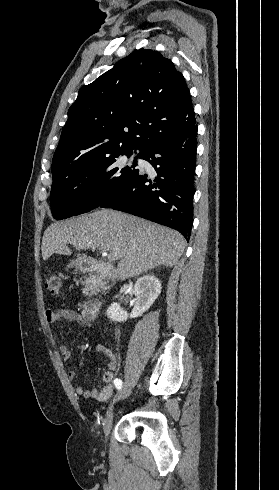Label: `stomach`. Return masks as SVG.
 <instances>
[{
	"instance_id": "0dacf381",
	"label": "stomach",
	"mask_w": 279,
	"mask_h": 490,
	"mask_svg": "<svg viewBox=\"0 0 279 490\" xmlns=\"http://www.w3.org/2000/svg\"><path fill=\"white\" fill-rule=\"evenodd\" d=\"M67 268H76L75 262H71V264H69V266H67Z\"/></svg>"
}]
</instances>
